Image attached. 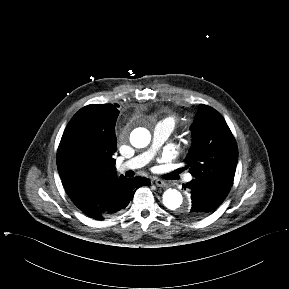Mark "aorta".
<instances>
[{"mask_svg": "<svg viewBox=\"0 0 289 289\" xmlns=\"http://www.w3.org/2000/svg\"><path fill=\"white\" fill-rule=\"evenodd\" d=\"M151 140V135L149 131L145 128H138L131 135V144L136 148L146 147ZM163 204L166 208L170 210H181L188 211L190 204L188 202H183L182 194L176 189H167L163 194Z\"/></svg>", "mask_w": 289, "mask_h": 289, "instance_id": "1", "label": "aorta"}]
</instances>
